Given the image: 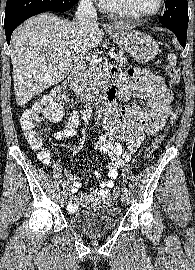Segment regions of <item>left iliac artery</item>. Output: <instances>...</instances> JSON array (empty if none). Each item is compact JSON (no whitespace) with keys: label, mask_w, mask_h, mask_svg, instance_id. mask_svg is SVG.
<instances>
[{"label":"left iliac artery","mask_w":195,"mask_h":270,"mask_svg":"<svg viewBox=\"0 0 195 270\" xmlns=\"http://www.w3.org/2000/svg\"><path fill=\"white\" fill-rule=\"evenodd\" d=\"M124 192L128 194V189L126 187H124Z\"/></svg>","instance_id":"obj_1"}]
</instances>
